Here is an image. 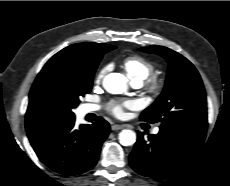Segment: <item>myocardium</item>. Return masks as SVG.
<instances>
[{"instance_id": "myocardium-1", "label": "myocardium", "mask_w": 230, "mask_h": 186, "mask_svg": "<svg viewBox=\"0 0 230 186\" xmlns=\"http://www.w3.org/2000/svg\"><path fill=\"white\" fill-rule=\"evenodd\" d=\"M164 88V79L159 76H149L146 81L145 89L150 95H159Z\"/></svg>"}]
</instances>
